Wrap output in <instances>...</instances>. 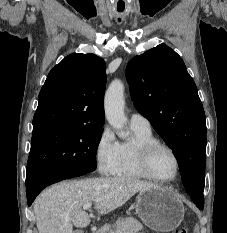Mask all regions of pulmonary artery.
<instances>
[{"label":"pulmonary artery","mask_w":227,"mask_h":233,"mask_svg":"<svg viewBox=\"0 0 227 233\" xmlns=\"http://www.w3.org/2000/svg\"><path fill=\"white\" fill-rule=\"evenodd\" d=\"M129 124L130 127L134 129L151 131V124L149 120L139 113H132L130 115Z\"/></svg>","instance_id":"e3ab8cb5"}]
</instances>
